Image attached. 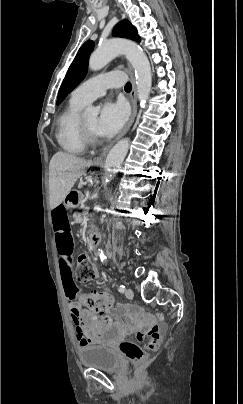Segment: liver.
Listing matches in <instances>:
<instances>
[{"label":"liver","instance_id":"6515ba94","mask_svg":"<svg viewBox=\"0 0 243 404\" xmlns=\"http://www.w3.org/2000/svg\"><path fill=\"white\" fill-rule=\"evenodd\" d=\"M92 160H82L73 154L57 152L49 164V204L51 210L62 204L76 180L91 166ZM82 182L79 184L81 188Z\"/></svg>","mask_w":243,"mask_h":404}]
</instances>
